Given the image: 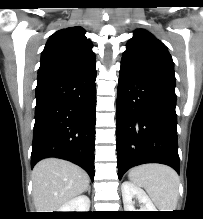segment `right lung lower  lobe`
I'll return each mask as SVG.
<instances>
[{"label": "right lung lower lobe", "mask_w": 203, "mask_h": 219, "mask_svg": "<svg viewBox=\"0 0 203 219\" xmlns=\"http://www.w3.org/2000/svg\"><path fill=\"white\" fill-rule=\"evenodd\" d=\"M96 63L38 72L31 166L69 160L94 179Z\"/></svg>", "instance_id": "right-lung-lower-lobe-1"}]
</instances>
